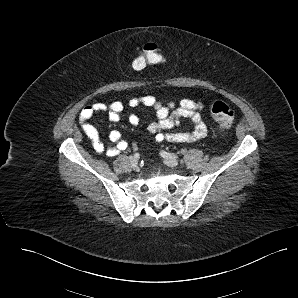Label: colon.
I'll use <instances>...</instances> for the list:
<instances>
[{
    "mask_svg": "<svg viewBox=\"0 0 298 298\" xmlns=\"http://www.w3.org/2000/svg\"><path fill=\"white\" fill-rule=\"evenodd\" d=\"M163 60L159 48L155 43H147L138 51L133 60V68L137 71L145 69L149 65L159 64ZM209 113L219 126L228 130L235 119L234 111L222 101L211 102L208 106Z\"/></svg>",
    "mask_w": 298,
    "mask_h": 298,
    "instance_id": "obj_1",
    "label": "colon"
}]
</instances>
